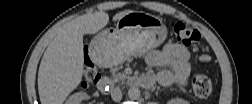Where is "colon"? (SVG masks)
Returning <instances> with one entry per match:
<instances>
[{"label": "colon", "mask_w": 252, "mask_h": 104, "mask_svg": "<svg viewBox=\"0 0 252 104\" xmlns=\"http://www.w3.org/2000/svg\"><path fill=\"white\" fill-rule=\"evenodd\" d=\"M171 29L173 31L176 41L183 45H191L200 38L198 30L190 27L189 25L181 21L171 22ZM199 58L203 61H209L210 58L207 55H199ZM100 78V74L91 61H87L84 66L82 87L89 88L95 84ZM193 91L195 95L200 99H207L212 92V83L210 79L202 74H198L193 78Z\"/></svg>", "instance_id": "5ec220e1"}]
</instances>
